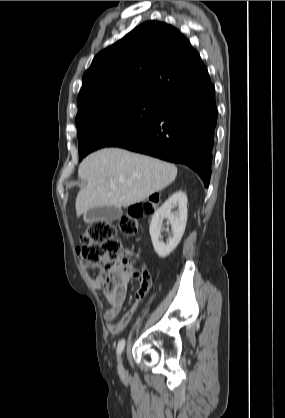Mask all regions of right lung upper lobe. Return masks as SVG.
I'll return each mask as SVG.
<instances>
[{
	"mask_svg": "<svg viewBox=\"0 0 285 418\" xmlns=\"http://www.w3.org/2000/svg\"><path fill=\"white\" fill-rule=\"evenodd\" d=\"M207 68L175 27L148 21L99 52L84 73L76 123L119 104H163L198 84Z\"/></svg>",
	"mask_w": 285,
	"mask_h": 418,
	"instance_id": "cb5924a9",
	"label": "right lung upper lobe"
}]
</instances>
